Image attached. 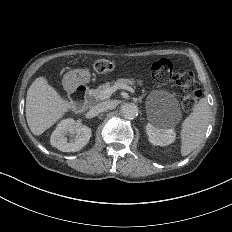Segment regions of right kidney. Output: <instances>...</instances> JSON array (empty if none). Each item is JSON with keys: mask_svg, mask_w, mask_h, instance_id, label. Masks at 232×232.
<instances>
[{"mask_svg": "<svg viewBox=\"0 0 232 232\" xmlns=\"http://www.w3.org/2000/svg\"><path fill=\"white\" fill-rule=\"evenodd\" d=\"M92 131L73 119L62 121L52 133L51 145L62 152H78L88 144ZM74 141V142H73Z\"/></svg>", "mask_w": 232, "mask_h": 232, "instance_id": "1", "label": "right kidney"}]
</instances>
